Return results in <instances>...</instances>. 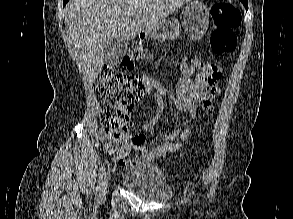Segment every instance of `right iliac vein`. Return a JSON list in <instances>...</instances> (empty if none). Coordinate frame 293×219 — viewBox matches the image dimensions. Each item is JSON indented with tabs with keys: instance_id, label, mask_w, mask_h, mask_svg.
<instances>
[{
	"instance_id": "63e3f726",
	"label": "right iliac vein",
	"mask_w": 293,
	"mask_h": 219,
	"mask_svg": "<svg viewBox=\"0 0 293 219\" xmlns=\"http://www.w3.org/2000/svg\"><path fill=\"white\" fill-rule=\"evenodd\" d=\"M107 187H108V175L105 174L102 181H101V187H100L99 194L103 195L106 192Z\"/></svg>"
}]
</instances>
